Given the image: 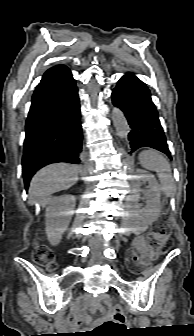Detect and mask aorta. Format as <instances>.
Instances as JSON below:
<instances>
[{
    "label": "aorta",
    "mask_w": 194,
    "mask_h": 336,
    "mask_svg": "<svg viewBox=\"0 0 194 336\" xmlns=\"http://www.w3.org/2000/svg\"><path fill=\"white\" fill-rule=\"evenodd\" d=\"M112 120L117 135L121 139H127L130 128L124 113L118 107L112 109Z\"/></svg>",
    "instance_id": "1"
}]
</instances>
